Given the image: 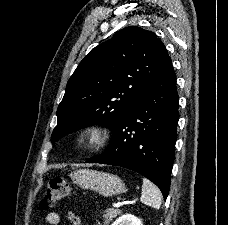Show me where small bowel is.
<instances>
[{
	"mask_svg": "<svg viewBox=\"0 0 228 225\" xmlns=\"http://www.w3.org/2000/svg\"><path fill=\"white\" fill-rule=\"evenodd\" d=\"M68 219L70 220L72 225H81V219L74 212H68ZM45 221L47 225H60L61 219L60 215L57 212H49L46 214Z\"/></svg>",
	"mask_w": 228,
	"mask_h": 225,
	"instance_id": "obj_1",
	"label": "small bowel"
}]
</instances>
